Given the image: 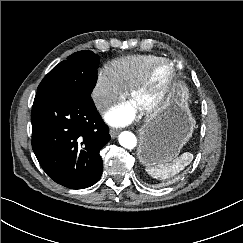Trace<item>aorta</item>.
<instances>
[{
    "label": "aorta",
    "instance_id": "aorta-1",
    "mask_svg": "<svg viewBox=\"0 0 243 243\" xmlns=\"http://www.w3.org/2000/svg\"><path fill=\"white\" fill-rule=\"evenodd\" d=\"M119 143L126 149H133L137 145V139L132 132L124 131L119 135Z\"/></svg>",
    "mask_w": 243,
    "mask_h": 243
}]
</instances>
